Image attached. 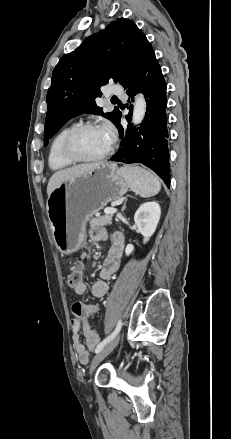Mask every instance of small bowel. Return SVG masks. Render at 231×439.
Listing matches in <instances>:
<instances>
[{
    "label": "small bowel",
    "instance_id": "c3829d8e",
    "mask_svg": "<svg viewBox=\"0 0 231 439\" xmlns=\"http://www.w3.org/2000/svg\"><path fill=\"white\" fill-rule=\"evenodd\" d=\"M90 238L93 243L99 244L110 240V250L100 269V280L92 287V294L96 298L103 297L109 289L107 281L116 273L119 268L120 259L124 249V237L120 232L109 236L104 228L94 227L90 230ZM84 279V277H83ZM90 286L89 283H76L75 292L79 298H87ZM100 311L99 304L74 303L72 306L73 320L79 325L86 341L84 345L80 339L79 331L73 330V347L82 364L89 361V351H92L100 341L99 335L91 328L89 318Z\"/></svg>",
    "mask_w": 231,
    "mask_h": 439
}]
</instances>
